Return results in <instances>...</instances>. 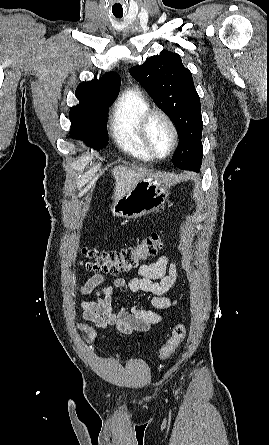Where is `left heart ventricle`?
Wrapping results in <instances>:
<instances>
[{"mask_svg": "<svg viewBox=\"0 0 269 445\" xmlns=\"http://www.w3.org/2000/svg\"><path fill=\"white\" fill-rule=\"evenodd\" d=\"M149 140L160 155L168 152L172 144V133L166 121L156 116L154 117L148 127Z\"/></svg>", "mask_w": 269, "mask_h": 445, "instance_id": "left-heart-ventricle-1", "label": "left heart ventricle"}]
</instances>
